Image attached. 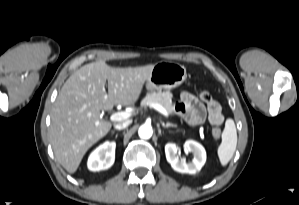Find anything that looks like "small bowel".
<instances>
[{"label": "small bowel", "mask_w": 299, "mask_h": 205, "mask_svg": "<svg viewBox=\"0 0 299 205\" xmlns=\"http://www.w3.org/2000/svg\"><path fill=\"white\" fill-rule=\"evenodd\" d=\"M176 110L191 125L202 124L206 116H208L209 121L214 125H219L223 121L221 106L217 101L210 100L205 105L197 97L188 92L181 94L180 102L176 105Z\"/></svg>", "instance_id": "c3829d8e"}]
</instances>
